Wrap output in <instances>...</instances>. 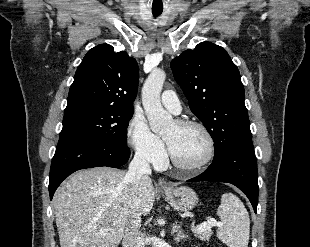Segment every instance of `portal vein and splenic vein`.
<instances>
[{"instance_id":"portal-vein-and-splenic-vein-1","label":"portal vein and splenic vein","mask_w":310,"mask_h":247,"mask_svg":"<svg viewBox=\"0 0 310 247\" xmlns=\"http://www.w3.org/2000/svg\"><path fill=\"white\" fill-rule=\"evenodd\" d=\"M217 225H220V223H218L216 220L214 219H210L208 220L207 222H204L202 224H200L199 226H197L195 228V231L196 232H200V231H204V230H207V229H210L212 228L213 226H217ZM100 234L101 235H105L106 234V230H100Z\"/></svg>"}]
</instances>
